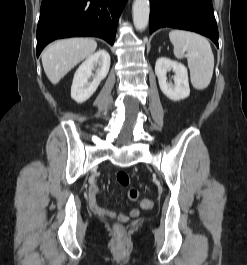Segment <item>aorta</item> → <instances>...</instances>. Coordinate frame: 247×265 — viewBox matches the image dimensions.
Instances as JSON below:
<instances>
[{"instance_id":"1","label":"aorta","mask_w":247,"mask_h":265,"mask_svg":"<svg viewBox=\"0 0 247 265\" xmlns=\"http://www.w3.org/2000/svg\"><path fill=\"white\" fill-rule=\"evenodd\" d=\"M149 0H135L133 3V22L137 30H144L149 22Z\"/></svg>"}]
</instances>
